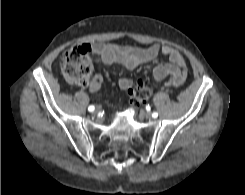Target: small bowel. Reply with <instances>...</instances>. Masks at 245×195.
I'll return each mask as SVG.
<instances>
[{"mask_svg":"<svg viewBox=\"0 0 245 195\" xmlns=\"http://www.w3.org/2000/svg\"><path fill=\"white\" fill-rule=\"evenodd\" d=\"M89 54L105 65L118 64L128 70L144 64L153 66V78L159 82L167 78L166 86L180 87L187 78L188 69L180 52L170 46L153 44L147 48H139L131 45L117 44H92L87 46ZM162 54L168 57V62H157ZM103 77L95 75L87 84L91 92L101 89ZM118 85L123 90H131L133 81L129 78H121Z\"/></svg>","mask_w":245,"mask_h":195,"instance_id":"1","label":"small bowel"}]
</instances>
